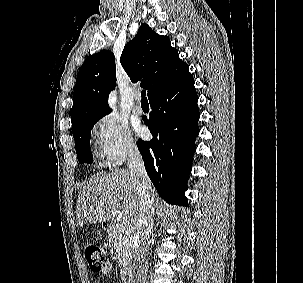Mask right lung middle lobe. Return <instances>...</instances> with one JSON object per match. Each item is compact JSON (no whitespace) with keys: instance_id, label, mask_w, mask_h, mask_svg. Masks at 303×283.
Segmentation results:
<instances>
[{"instance_id":"dd1d6c3e","label":"right lung middle lobe","mask_w":303,"mask_h":283,"mask_svg":"<svg viewBox=\"0 0 303 283\" xmlns=\"http://www.w3.org/2000/svg\"><path fill=\"white\" fill-rule=\"evenodd\" d=\"M98 120L85 122L72 130L75 139V148L80 163H92L93 157L90 149L91 129Z\"/></svg>"}]
</instances>
